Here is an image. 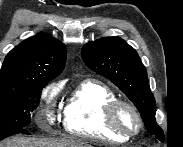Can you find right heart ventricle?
I'll use <instances>...</instances> for the list:
<instances>
[{
    "mask_svg": "<svg viewBox=\"0 0 183 147\" xmlns=\"http://www.w3.org/2000/svg\"><path fill=\"white\" fill-rule=\"evenodd\" d=\"M115 99L116 94L106 84L95 80L80 82L63 107L65 131L84 139L127 141L128 137L112 131L104 121V109Z\"/></svg>",
    "mask_w": 183,
    "mask_h": 147,
    "instance_id": "e07e8e85",
    "label": "right heart ventricle"
}]
</instances>
